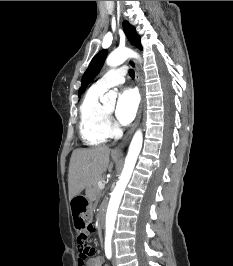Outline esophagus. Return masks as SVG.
Listing matches in <instances>:
<instances>
[{
  "instance_id": "1",
  "label": "esophagus",
  "mask_w": 233,
  "mask_h": 266,
  "mask_svg": "<svg viewBox=\"0 0 233 266\" xmlns=\"http://www.w3.org/2000/svg\"><path fill=\"white\" fill-rule=\"evenodd\" d=\"M128 64L130 67H132L135 71V79H136V83L137 86L139 88L140 91V95H141V101H140V105H139V109H138V113L136 116V119L134 121V123L132 124V126L130 127V129L128 130V132L126 133V135L124 136L122 142L113 150L114 153H119L122 151L123 147L128 143L131 135L133 134L134 130L136 129L137 125L140 122L141 119V115H142V110H143V104H144V100H143V91L141 88V83H140V74H139V70L138 67L136 65V62L134 59H129L128 60Z\"/></svg>"
}]
</instances>
